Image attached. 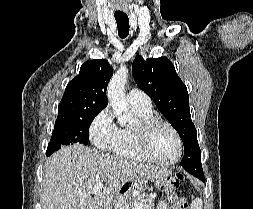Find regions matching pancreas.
<instances>
[{"mask_svg":"<svg viewBox=\"0 0 253 209\" xmlns=\"http://www.w3.org/2000/svg\"><path fill=\"white\" fill-rule=\"evenodd\" d=\"M154 201H155V196L153 195H140L137 198L133 199V202L131 204V209H136V205L141 204L142 209H154Z\"/></svg>","mask_w":253,"mask_h":209,"instance_id":"1","label":"pancreas"}]
</instances>
